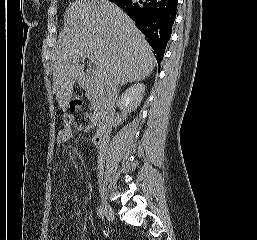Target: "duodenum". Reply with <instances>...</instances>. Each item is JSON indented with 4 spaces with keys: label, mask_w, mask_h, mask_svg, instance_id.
I'll return each instance as SVG.
<instances>
[{
    "label": "duodenum",
    "mask_w": 257,
    "mask_h": 240,
    "mask_svg": "<svg viewBox=\"0 0 257 240\" xmlns=\"http://www.w3.org/2000/svg\"><path fill=\"white\" fill-rule=\"evenodd\" d=\"M109 137V128L104 124H99L93 136V143L96 148L101 149L106 145Z\"/></svg>",
    "instance_id": "obj_1"
}]
</instances>
